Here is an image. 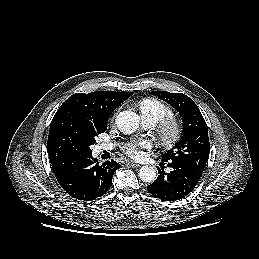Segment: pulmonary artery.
I'll use <instances>...</instances> for the list:
<instances>
[{
    "mask_svg": "<svg viewBox=\"0 0 259 259\" xmlns=\"http://www.w3.org/2000/svg\"><path fill=\"white\" fill-rule=\"evenodd\" d=\"M142 123H143V126L145 128H151L155 124V122L152 119L146 118V117H142ZM112 148H113V146L110 145V144H102V145H100V149L101 150H108V149H112Z\"/></svg>",
    "mask_w": 259,
    "mask_h": 259,
    "instance_id": "obj_1",
    "label": "pulmonary artery"
}]
</instances>
